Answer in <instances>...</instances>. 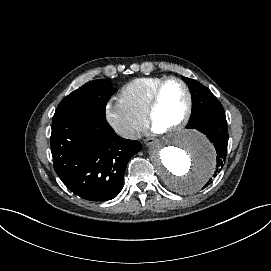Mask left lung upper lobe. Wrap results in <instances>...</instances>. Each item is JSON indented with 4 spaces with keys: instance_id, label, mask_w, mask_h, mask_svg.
Segmentation results:
<instances>
[{
    "instance_id": "left-lung-upper-lobe-1",
    "label": "left lung upper lobe",
    "mask_w": 271,
    "mask_h": 271,
    "mask_svg": "<svg viewBox=\"0 0 271 271\" xmlns=\"http://www.w3.org/2000/svg\"><path fill=\"white\" fill-rule=\"evenodd\" d=\"M182 78L188 84L192 95V114L187 128L194 129L207 111L222 105L207 87L196 80Z\"/></svg>"
}]
</instances>
